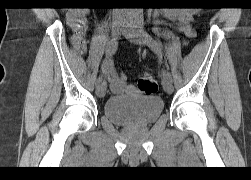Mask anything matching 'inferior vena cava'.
I'll return each instance as SVG.
<instances>
[{"label": "inferior vena cava", "mask_w": 251, "mask_h": 180, "mask_svg": "<svg viewBox=\"0 0 251 180\" xmlns=\"http://www.w3.org/2000/svg\"><path fill=\"white\" fill-rule=\"evenodd\" d=\"M119 8H114L113 10V15L115 19H118L120 17H125L127 16L126 11L124 9L120 10Z\"/></svg>", "instance_id": "1"}]
</instances>
